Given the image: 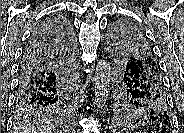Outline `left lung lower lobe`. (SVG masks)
Listing matches in <instances>:
<instances>
[{
  "mask_svg": "<svg viewBox=\"0 0 184 133\" xmlns=\"http://www.w3.org/2000/svg\"><path fill=\"white\" fill-rule=\"evenodd\" d=\"M141 80H142L141 76H139L138 78H135V81H133V85L136 88L138 95L141 98L145 99L147 104L151 107L149 117L146 121L160 122L170 127L171 117H170V111H168L167 109V104H166L167 98H165L166 93H165L163 83L155 82L150 85H145L149 87L148 88L149 90H146L144 87H142Z\"/></svg>",
  "mask_w": 184,
  "mask_h": 133,
  "instance_id": "0a47b994",
  "label": "left lung lower lobe"
}]
</instances>
